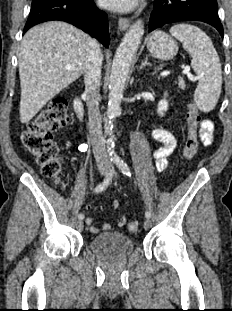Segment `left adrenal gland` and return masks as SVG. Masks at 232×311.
Returning a JSON list of instances; mask_svg holds the SVG:
<instances>
[{
  "mask_svg": "<svg viewBox=\"0 0 232 311\" xmlns=\"http://www.w3.org/2000/svg\"><path fill=\"white\" fill-rule=\"evenodd\" d=\"M150 63L148 62V57H146L145 61L142 62L141 66H140V70L143 69L145 66H149Z\"/></svg>",
  "mask_w": 232,
  "mask_h": 311,
  "instance_id": "left-adrenal-gland-1",
  "label": "left adrenal gland"
}]
</instances>
